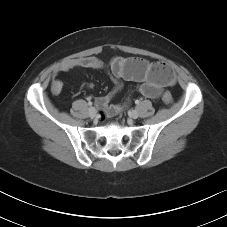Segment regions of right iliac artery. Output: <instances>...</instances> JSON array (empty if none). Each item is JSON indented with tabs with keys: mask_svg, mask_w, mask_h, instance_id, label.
I'll list each match as a JSON object with an SVG mask.
<instances>
[{
	"mask_svg": "<svg viewBox=\"0 0 227 227\" xmlns=\"http://www.w3.org/2000/svg\"><path fill=\"white\" fill-rule=\"evenodd\" d=\"M88 104L91 106V105H92V102H89ZM90 108H93V107H90ZM90 108H89V109H90Z\"/></svg>",
	"mask_w": 227,
	"mask_h": 227,
	"instance_id": "right-iliac-artery-1",
	"label": "right iliac artery"
}]
</instances>
